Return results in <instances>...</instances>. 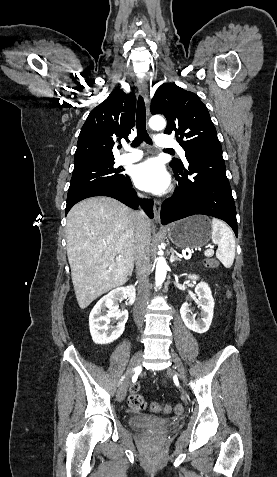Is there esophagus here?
<instances>
[{
  "mask_svg": "<svg viewBox=\"0 0 277 477\" xmlns=\"http://www.w3.org/2000/svg\"><path fill=\"white\" fill-rule=\"evenodd\" d=\"M139 93L144 98L147 112L149 113V98H148V87L145 81L140 80L138 82ZM160 210H161V201L158 199L154 200V220L160 222Z\"/></svg>",
  "mask_w": 277,
  "mask_h": 477,
  "instance_id": "1",
  "label": "esophagus"
}]
</instances>
